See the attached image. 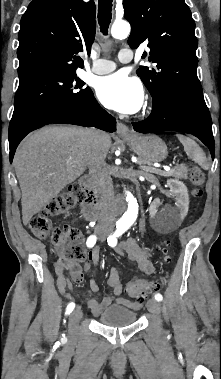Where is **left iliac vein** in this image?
<instances>
[{"mask_svg": "<svg viewBox=\"0 0 221 379\" xmlns=\"http://www.w3.org/2000/svg\"><path fill=\"white\" fill-rule=\"evenodd\" d=\"M146 306H147V309L151 312V313H153L154 315H156V316H159L160 315V311H161V309H160V304L158 303V301L156 300V299H149L148 301H147V304H146Z\"/></svg>", "mask_w": 221, "mask_h": 379, "instance_id": "4c4485c4", "label": "left iliac vein"}]
</instances>
